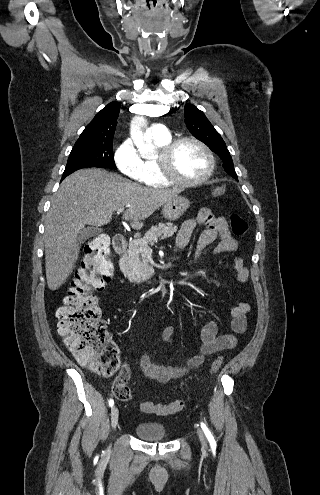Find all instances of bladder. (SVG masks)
I'll use <instances>...</instances> for the list:
<instances>
[{"label":"bladder","instance_id":"1","mask_svg":"<svg viewBox=\"0 0 320 495\" xmlns=\"http://www.w3.org/2000/svg\"><path fill=\"white\" fill-rule=\"evenodd\" d=\"M136 435L146 441H163L167 438V431L162 423L142 422L135 427Z\"/></svg>","mask_w":320,"mask_h":495}]
</instances>
